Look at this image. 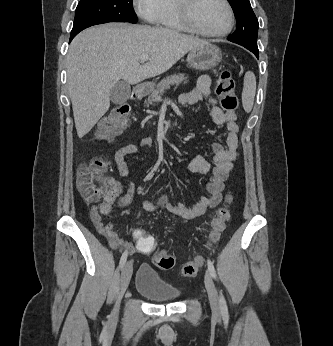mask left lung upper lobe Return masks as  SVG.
Wrapping results in <instances>:
<instances>
[{"label": "left lung upper lobe", "instance_id": "obj_1", "mask_svg": "<svg viewBox=\"0 0 333 346\" xmlns=\"http://www.w3.org/2000/svg\"><path fill=\"white\" fill-rule=\"evenodd\" d=\"M231 4L236 19V31L228 37V40L240 44L245 48L258 49L257 32L258 20L251 8L249 0H228Z\"/></svg>", "mask_w": 333, "mask_h": 346}]
</instances>
